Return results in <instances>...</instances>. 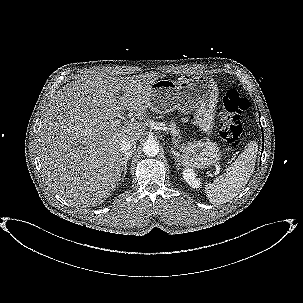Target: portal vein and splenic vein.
<instances>
[{
    "instance_id": "1",
    "label": "portal vein and splenic vein",
    "mask_w": 303,
    "mask_h": 303,
    "mask_svg": "<svg viewBox=\"0 0 303 303\" xmlns=\"http://www.w3.org/2000/svg\"><path fill=\"white\" fill-rule=\"evenodd\" d=\"M115 126V124L114 123H111V127H114Z\"/></svg>"
}]
</instances>
